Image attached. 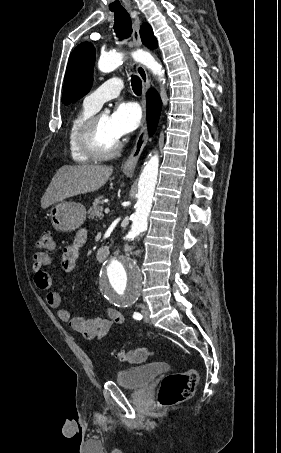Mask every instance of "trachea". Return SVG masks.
Segmentation results:
<instances>
[{"mask_svg":"<svg viewBox=\"0 0 281 453\" xmlns=\"http://www.w3.org/2000/svg\"><path fill=\"white\" fill-rule=\"evenodd\" d=\"M114 30L116 36L122 40L127 39L132 34V22L128 12H115ZM131 85L136 95L142 93V82L138 76H132Z\"/></svg>","mask_w":281,"mask_h":453,"instance_id":"1","label":"trachea"}]
</instances>
